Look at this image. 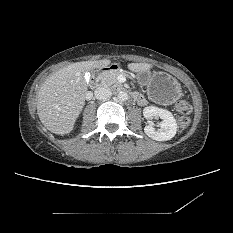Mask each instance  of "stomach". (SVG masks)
<instances>
[{
  "instance_id": "1",
  "label": "stomach",
  "mask_w": 233,
  "mask_h": 233,
  "mask_svg": "<svg viewBox=\"0 0 233 233\" xmlns=\"http://www.w3.org/2000/svg\"><path fill=\"white\" fill-rule=\"evenodd\" d=\"M141 84L147 86L149 97L162 104H171L181 95V86L170 74L163 71L136 72Z\"/></svg>"
}]
</instances>
